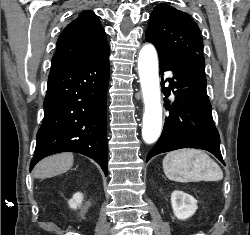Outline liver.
<instances>
[{
	"label": "liver",
	"mask_w": 250,
	"mask_h": 235,
	"mask_svg": "<svg viewBox=\"0 0 250 235\" xmlns=\"http://www.w3.org/2000/svg\"><path fill=\"white\" fill-rule=\"evenodd\" d=\"M74 162L70 153L50 156L39 162L34 168L35 178L44 179L67 172Z\"/></svg>",
	"instance_id": "6515ba94"
}]
</instances>
